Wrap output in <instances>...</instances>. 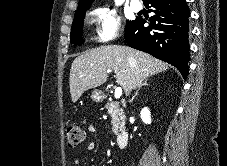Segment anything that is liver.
<instances>
[{
	"instance_id": "1",
	"label": "liver",
	"mask_w": 227,
	"mask_h": 166,
	"mask_svg": "<svg viewBox=\"0 0 227 166\" xmlns=\"http://www.w3.org/2000/svg\"><path fill=\"white\" fill-rule=\"evenodd\" d=\"M169 65L149 54L121 45H103L76 57L71 65L69 85L72 102L107 81L108 70L126 95L148 77L164 72Z\"/></svg>"
}]
</instances>
